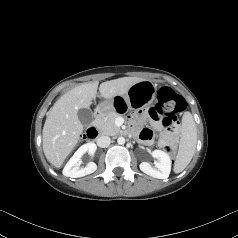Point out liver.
<instances>
[{
  "mask_svg": "<svg viewBox=\"0 0 238 238\" xmlns=\"http://www.w3.org/2000/svg\"><path fill=\"white\" fill-rule=\"evenodd\" d=\"M144 79L123 77L100 84L103 98L112 99L125 95L130 87ZM98 81L81 84L65 93L47 112L43 127V151L46 159L59 168L76 146L83 125L78 118V110L89 108L96 98Z\"/></svg>",
  "mask_w": 238,
  "mask_h": 238,
  "instance_id": "liver-1",
  "label": "liver"
}]
</instances>
